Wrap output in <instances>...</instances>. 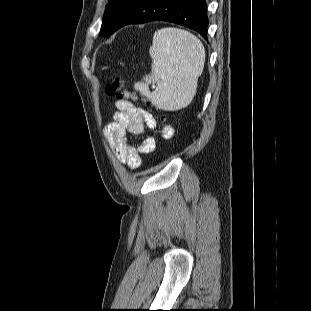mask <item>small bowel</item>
Segmentation results:
<instances>
[{
    "mask_svg": "<svg viewBox=\"0 0 311 311\" xmlns=\"http://www.w3.org/2000/svg\"><path fill=\"white\" fill-rule=\"evenodd\" d=\"M117 108L113 120L106 126V138L119 162L126 164L132 169L141 165V154H148L153 151L156 140L150 136L141 141L138 148L129 142V135H140L146 129H154L157 122L154 117L142 108L136 107L127 100L115 102ZM172 130L168 128L165 136L169 137Z\"/></svg>",
    "mask_w": 311,
    "mask_h": 311,
    "instance_id": "small-bowel-1",
    "label": "small bowel"
}]
</instances>
